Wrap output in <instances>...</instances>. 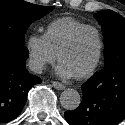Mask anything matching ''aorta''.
<instances>
[{
  "mask_svg": "<svg viewBox=\"0 0 125 125\" xmlns=\"http://www.w3.org/2000/svg\"><path fill=\"white\" fill-rule=\"evenodd\" d=\"M81 102L78 91L68 88L61 93L60 103L66 110H75Z\"/></svg>",
  "mask_w": 125,
  "mask_h": 125,
  "instance_id": "1",
  "label": "aorta"
}]
</instances>
